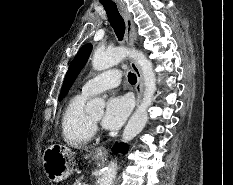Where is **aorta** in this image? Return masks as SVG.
Segmentation results:
<instances>
[{
	"instance_id": "aorta-1",
	"label": "aorta",
	"mask_w": 233,
	"mask_h": 185,
	"mask_svg": "<svg viewBox=\"0 0 233 185\" xmlns=\"http://www.w3.org/2000/svg\"><path fill=\"white\" fill-rule=\"evenodd\" d=\"M128 56L134 58L141 68L145 90L140 105L125 126L122 135L123 142H129L135 138L144 129L148 121L147 110L152 104L156 91V77L153 65L141 51L130 50L126 47H116L106 51L96 50L92 58L93 69L96 71H102L118 64ZM104 108V100L95 98L87 103L85 111L88 114H94L102 112ZM116 174L117 162L111 161L103 172L99 185H113Z\"/></svg>"
}]
</instances>
